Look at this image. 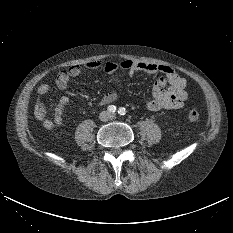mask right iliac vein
Instances as JSON below:
<instances>
[{
    "label": "right iliac vein",
    "mask_w": 233,
    "mask_h": 233,
    "mask_svg": "<svg viewBox=\"0 0 233 233\" xmlns=\"http://www.w3.org/2000/svg\"><path fill=\"white\" fill-rule=\"evenodd\" d=\"M109 118V114L107 113V112H102L101 114H100V119L102 120V121H105V120H107Z\"/></svg>",
    "instance_id": "63e3f726"
}]
</instances>
